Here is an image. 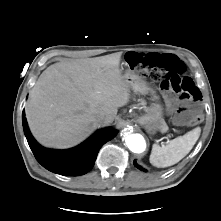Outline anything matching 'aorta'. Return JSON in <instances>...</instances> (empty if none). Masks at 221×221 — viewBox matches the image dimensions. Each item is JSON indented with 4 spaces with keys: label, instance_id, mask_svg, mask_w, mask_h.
Here are the masks:
<instances>
[{
    "label": "aorta",
    "instance_id": "762f6f07",
    "mask_svg": "<svg viewBox=\"0 0 221 221\" xmlns=\"http://www.w3.org/2000/svg\"><path fill=\"white\" fill-rule=\"evenodd\" d=\"M125 143L134 153H142L146 148V142L142 135L133 132H125Z\"/></svg>",
    "mask_w": 221,
    "mask_h": 221
}]
</instances>
